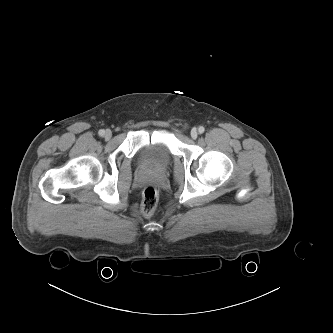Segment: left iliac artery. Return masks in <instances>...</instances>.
Wrapping results in <instances>:
<instances>
[{"instance_id": "44dca946", "label": "left iliac artery", "mask_w": 333, "mask_h": 333, "mask_svg": "<svg viewBox=\"0 0 333 333\" xmlns=\"http://www.w3.org/2000/svg\"><path fill=\"white\" fill-rule=\"evenodd\" d=\"M198 131H199L200 134H202L205 131V128L203 126H200L198 128Z\"/></svg>"}]
</instances>
